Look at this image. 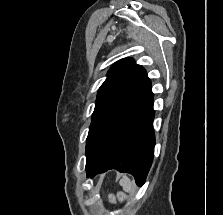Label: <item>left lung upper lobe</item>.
I'll list each match as a JSON object with an SVG mask.
<instances>
[{
	"label": "left lung upper lobe",
	"mask_w": 223,
	"mask_h": 215,
	"mask_svg": "<svg viewBox=\"0 0 223 215\" xmlns=\"http://www.w3.org/2000/svg\"><path fill=\"white\" fill-rule=\"evenodd\" d=\"M150 88L146 71L133 59L125 58L114 63L98 90L86 141V163L94 157L113 127Z\"/></svg>",
	"instance_id": "left-lung-upper-lobe-1"
}]
</instances>
